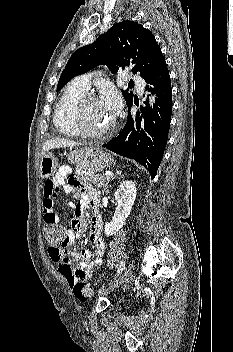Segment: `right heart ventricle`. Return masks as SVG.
Masks as SVG:
<instances>
[{
    "instance_id": "obj_1",
    "label": "right heart ventricle",
    "mask_w": 233,
    "mask_h": 352,
    "mask_svg": "<svg viewBox=\"0 0 233 352\" xmlns=\"http://www.w3.org/2000/svg\"><path fill=\"white\" fill-rule=\"evenodd\" d=\"M86 92L87 90L77 85L74 81L66 86L54 113V124L61 134L68 137L79 135L73 125L72 116L77 101L86 94Z\"/></svg>"
}]
</instances>
